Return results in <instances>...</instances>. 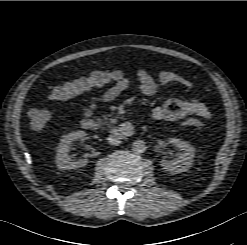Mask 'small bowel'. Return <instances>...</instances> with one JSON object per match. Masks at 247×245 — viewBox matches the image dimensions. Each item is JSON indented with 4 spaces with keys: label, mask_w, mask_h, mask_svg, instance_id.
<instances>
[{
    "label": "small bowel",
    "mask_w": 247,
    "mask_h": 245,
    "mask_svg": "<svg viewBox=\"0 0 247 245\" xmlns=\"http://www.w3.org/2000/svg\"><path fill=\"white\" fill-rule=\"evenodd\" d=\"M170 84H178L187 89L193 88L191 81L175 72L163 71L158 76H153L146 70H139L133 77L123 75L101 95L93 97L88 105L81 106V111L85 117H91L101 103L114 101L133 85L139 88L144 95L153 96ZM190 116L203 119L212 118L208 107L195 98L170 99L164 105L157 106L152 110V118L157 121H178Z\"/></svg>",
    "instance_id": "small-bowel-1"
}]
</instances>
